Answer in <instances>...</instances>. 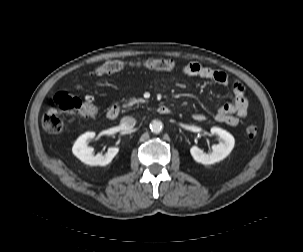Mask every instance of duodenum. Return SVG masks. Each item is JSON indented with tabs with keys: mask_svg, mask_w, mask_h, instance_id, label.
<instances>
[{
	"mask_svg": "<svg viewBox=\"0 0 303 252\" xmlns=\"http://www.w3.org/2000/svg\"><path fill=\"white\" fill-rule=\"evenodd\" d=\"M121 110V106L119 103H113L110 107V109L107 112V116L109 119L114 120L117 118ZM158 112L160 114H169L171 112L170 107L166 105H162L158 107Z\"/></svg>",
	"mask_w": 303,
	"mask_h": 252,
	"instance_id": "1",
	"label": "duodenum"
}]
</instances>
